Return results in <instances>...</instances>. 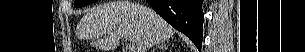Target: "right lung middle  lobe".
<instances>
[{"label":"right lung middle lobe","mask_w":305,"mask_h":52,"mask_svg":"<svg viewBox=\"0 0 305 52\" xmlns=\"http://www.w3.org/2000/svg\"><path fill=\"white\" fill-rule=\"evenodd\" d=\"M96 0H75L74 2V6L75 7H82V6H85L91 2H94Z\"/></svg>","instance_id":"right-lung-middle-lobe-1"}]
</instances>
